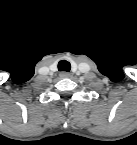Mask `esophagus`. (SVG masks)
<instances>
[{
  "instance_id": "1",
  "label": "esophagus",
  "mask_w": 137,
  "mask_h": 145,
  "mask_svg": "<svg viewBox=\"0 0 137 145\" xmlns=\"http://www.w3.org/2000/svg\"><path fill=\"white\" fill-rule=\"evenodd\" d=\"M59 76L60 78H68L70 77V74L68 72L63 71L59 74Z\"/></svg>"
}]
</instances>
